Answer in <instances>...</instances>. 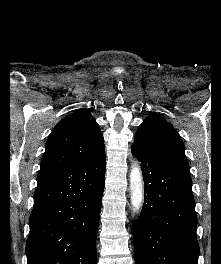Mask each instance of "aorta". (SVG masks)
Wrapping results in <instances>:
<instances>
[{"mask_svg":"<svg viewBox=\"0 0 221 264\" xmlns=\"http://www.w3.org/2000/svg\"><path fill=\"white\" fill-rule=\"evenodd\" d=\"M130 201L133 211L138 213L142 209L144 202V182L141 168L138 163H134L130 172Z\"/></svg>","mask_w":221,"mask_h":264,"instance_id":"obj_1","label":"aorta"}]
</instances>
